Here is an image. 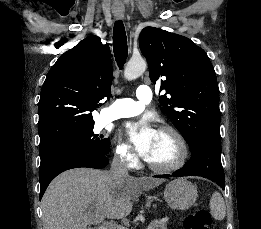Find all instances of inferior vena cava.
Listing matches in <instances>:
<instances>
[{
  "label": "inferior vena cava",
  "mask_w": 261,
  "mask_h": 229,
  "mask_svg": "<svg viewBox=\"0 0 261 229\" xmlns=\"http://www.w3.org/2000/svg\"><path fill=\"white\" fill-rule=\"evenodd\" d=\"M110 173H112L114 177H118V179H123V177H129L128 163L126 159H122V157H114Z\"/></svg>",
  "instance_id": "obj_1"
}]
</instances>
